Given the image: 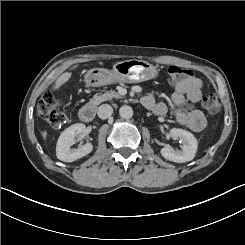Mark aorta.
<instances>
[{"mask_svg":"<svg viewBox=\"0 0 245 245\" xmlns=\"http://www.w3.org/2000/svg\"><path fill=\"white\" fill-rule=\"evenodd\" d=\"M119 114L124 119H130L133 116V109L128 105H124L119 109Z\"/></svg>","mask_w":245,"mask_h":245,"instance_id":"aorta-1","label":"aorta"}]
</instances>
